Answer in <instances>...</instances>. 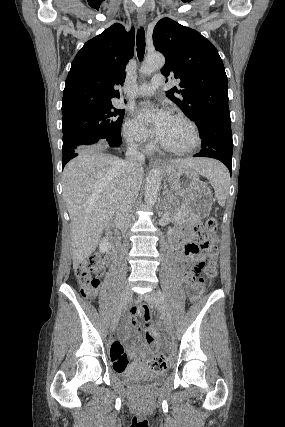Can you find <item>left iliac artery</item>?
I'll return each mask as SVG.
<instances>
[{
	"label": "left iliac artery",
	"instance_id": "1",
	"mask_svg": "<svg viewBox=\"0 0 285 427\" xmlns=\"http://www.w3.org/2000/svg\"><path fill=\"white\" fill-rule=\"evenodd\" d=\"M158 294H159V296H160V298H161L162 302L164 303V302H165L164 294H163L160 290H158Z\"/></svg>",
	"mask_w": 285,
	"mask_h": 427
}]
</instances>
